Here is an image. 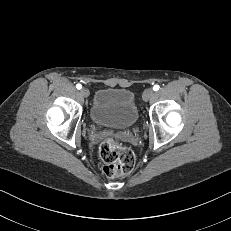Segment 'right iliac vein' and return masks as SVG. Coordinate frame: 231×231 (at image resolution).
<instances>
[{"instance_id": "obj_1", "label": "right iliac vein", "mask_w": 231, "mask_h": 231, "mask_svg": "<svg viewBox=\"0 0 231 231\" xmlns=\"http://www.w3.org/2000/svg\"><path fill=\"white\" fill-rule=\"evenodd\" d=\"M80 93H81V95L84 96V97H88L89 94H90V92H89V90H88L87 88H82V89L80 90Z\"/></svg>"}]
</instances>
